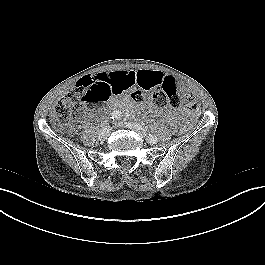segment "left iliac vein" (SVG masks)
I'll list each match as a JSON object with an SVG mask.
<instances>
[{"label":"left iliac vein","instance_id":"left-iliac-vein-1","mask_svg":"<svg viewBox=\"0 0 265 265\" xmlns=\"http://www.w3.org/2000/svg\"><path fill=\"white\" fill-rule=\"evenodd\" d=\"M127 126H128L131 130L137 132L140 136H142V137H146V136H147V133H146L145 129L142 128L139 124H137V123H128ZM147 140H148V142H149L150 144H155V143L157 142L156 139H154V140H149V139H147Z\"/></svg>","mask_w":265,"mask_h":265}]
</instances>
